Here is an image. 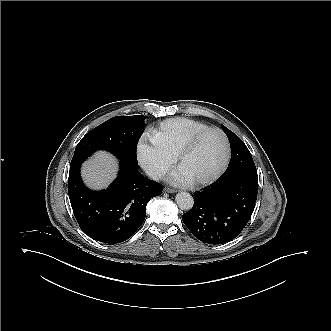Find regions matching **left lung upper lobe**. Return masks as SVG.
I'll return each instance as SVG.
<instances>
[{
	"label": "left lung upper lobe",
	"mask_w": 331,
	"mask_h": 331,
	"mask_svg": "<svg viewBox=\"0 0 331 331\" xmlns=\"http://www.w3.org/2000/svg\"><path fill=\"white\" fill-rule=\"evenodd\" d=\"M222 128L230 141L232 152L231 160L224 177L238 173L257 176L253 158L244 142L225 126L222 125Z\"/></svg>",
	"instance_id": "left-lung-upper-lobe-1"
}]
</instances>
